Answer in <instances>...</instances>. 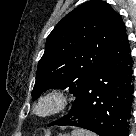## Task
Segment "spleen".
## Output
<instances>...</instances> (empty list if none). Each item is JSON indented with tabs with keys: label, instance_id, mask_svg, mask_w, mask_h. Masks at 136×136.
<instances>
[{
	"label": "spleen",
	"instance_id": "1",
	"mask_svg": "<svg viewBox=\"0 0 136 136\" xmlns=\"http://www.w3.org/2000/svg\"><path fill=\"white\" fill-rule=\"evenodd\" d=\"M72 136H96V135L91 134L90 132L84 130H75Z\"/></svg>",
	"mask_w": 136,
	"mask_h": 136
}]
</instances>
